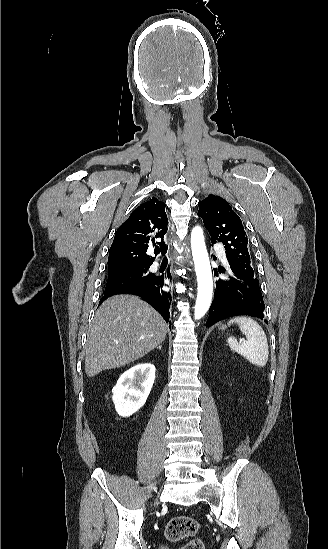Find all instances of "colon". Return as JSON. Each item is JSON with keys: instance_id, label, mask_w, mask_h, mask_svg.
Here are the masks:
<instances>
[{"instance_id": "5ec220e1", "label": "colon", "mask_w": 328, "mask_h": 549, "mask_svg": "<svg viewBox=\"0 0 328 549\" xmlns=\"http://www.w3.org/2000/svg\"><path fill=\"white\" fill-rule=\"evenodd\" d=\"M200 531V523L189 516H178L170 520L165 530V536L170 542H179L194 537ZM180 549H204L202 541L193 538L186 542Z\"/></svg>"}]
</instances>
